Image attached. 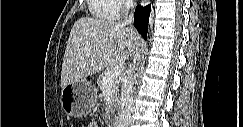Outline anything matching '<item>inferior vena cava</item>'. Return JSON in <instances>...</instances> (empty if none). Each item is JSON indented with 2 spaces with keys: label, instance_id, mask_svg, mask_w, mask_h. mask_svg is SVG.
<instances>
[{
  "label": "inferior vena cava",
  "instance_id": "inferior-vena-cava-1",
  "mask_svg": "<svg viewBox=\"0 0 243 127\" xmlns=\"http://www.w3.org/2000/svg\"><path fill=\"white\" fill-rule=\"evenodd\" d=\"M126 6L128 8H134L135 3L133 0H127ZM133 22V13H131L124 22L125 25L131 24ZM132 66H129V69L125 72L121 82V101H120V114L118 127H130L131 123V113L134 109L133 101V77H132Z\"/></svg>",
  "mask_w": 243,
  "mask_h": 127
}]
</instances>
